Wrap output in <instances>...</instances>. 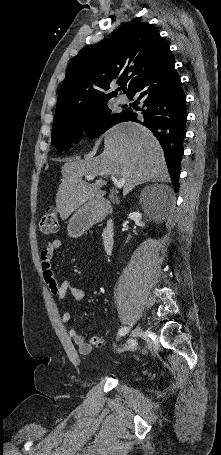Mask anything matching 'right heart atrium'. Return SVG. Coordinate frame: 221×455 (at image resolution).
<instances>
[{
	"instance_id": "right-heart-atrium-1",
	"label": "right heart atrium",
	"mask_w": 221,
	"mask_h": 455,
	"mask_svg": "<svg viewBox=\"0 0 221 455\" xmlns=\"http://www.w3.org/2000/svg\"><path fill=\"white\" fill-rule=\"evenodd\" d=\"M99 136V130L95 123H89L84 130V139L87 143L93 144Z\"/></svg>"
}]
</instances>
